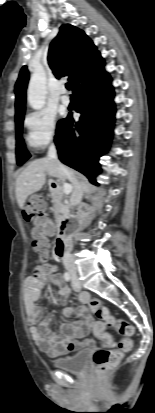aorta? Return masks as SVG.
I'll use <instances>...</instances> for the list:
<instances>
[{
    "label": "aorta",
    "mask_w": 155,
    "mask_h": 413,
    "mask_svg": "<svg viewBox=\"0 0 155 413\" xmlns=\"http://www.w3.org/2000/svg\"><path fill=\"white\" fill-rule=\"evenodd\" d=\"M46 77L42 69L36 70L28 85L27 99L31 108L41 110L46 101Z\"/></svg>",
    "instance_id": "1"
}]
</instances>
